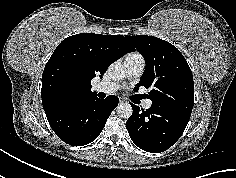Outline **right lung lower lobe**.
Returning a JSON list of instances; mask_svg holds the SVG:
<instances>
[{"label":"right lung lower lobe","instance_id":"1","mask_svg":"<svg viewBox=\"0 0 236 178\" xmlns=\"http://www.w3.org/2000/svg\"><path fill=\"white\" fill-rule=\"evenodd\" d=\"M118 101L114 95L103 100L93 95L78 103L49 111L46 117L61 140L72 146H83L99 136Z\"/></svg>","mask_w":236,"mask_h":178}]
</instances>
